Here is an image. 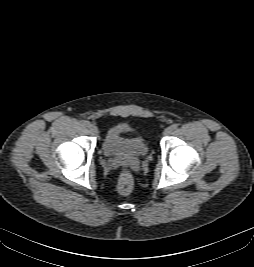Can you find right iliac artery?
I'll return each instance as SVG.
<instances>
[{
    "mask_svg": "<svg viewBox=\"0 0 254 267\" xmlns=\"http://www.w3.org/2000/svg\"><path fill=\"white\" fill-rule=\"evenodd\" d=\"M83 125H84L85 127H89L90 122H89V121H83Z\"/></svg>",
    "mask_w": 254,
    "mask_h": 267,
    "instance_id": "1",
    "label": "right iliac artery"
}]
</instances>
